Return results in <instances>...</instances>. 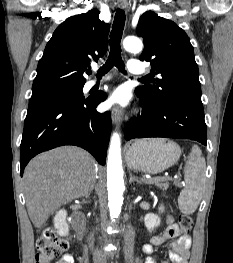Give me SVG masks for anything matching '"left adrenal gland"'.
<instances>
[{"instance_id": "left-adrenal-gland-1", "label": "left adrenal gland", "mask_w": 233, "mask_h": 263, "mask_svg": "<svg viewBox=\"0 0 233 263\" xmlns=\"http://www.w3.org/2000/svg\"><path fill=\"white\" fill-rule=\"evenodd\" d=\"M129 175H130V179H129V183H130V184H131L132 182H137V183H142V182H143V180H141V179L133 176L131 172H129Z\"/></svg>"}]
</instances>
